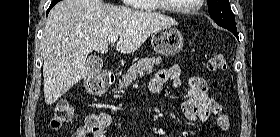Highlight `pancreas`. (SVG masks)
<instances>
[{"label": "pancreas", "instance_id": "cf45deb5", "mask_svg": "<svg viewBox=\"0 0 280 137\" xmlns=\"http://www.w3.org/2000/svg\"><path fill=\"white\" fill-rule=\"evenodd\" d=\"M160 63V58L147 57L140 59L137 64L132 65L127 73L123 75V81H119V88L124 89L129 87L133 81H136L139 77H143L145 72L151 73L154 65Z\"/></svg>", "mask_w": 280, "mask_h": 137}]
</instances>
